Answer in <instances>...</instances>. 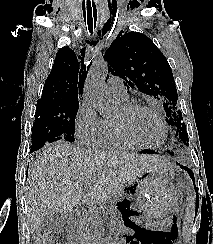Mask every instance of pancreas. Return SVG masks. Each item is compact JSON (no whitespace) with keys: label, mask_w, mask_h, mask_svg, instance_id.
<instances>
[{"label":"pancreas","mask_w":213,"mask_h":244,"mask_svg":"<svg viewBox=\"0 0 213 244\" xmlns=\"http://www.w3.org/2000/svg\"><path fill=\"white\" fill-rule=\"evenodd\" d=\"M78 233L83 241L82 244H89V242L96 239V235L99 233L96 221L93 218H87L79 224Z\"/></svg>","instance_id":"cf45deb5"}]
</instances>
